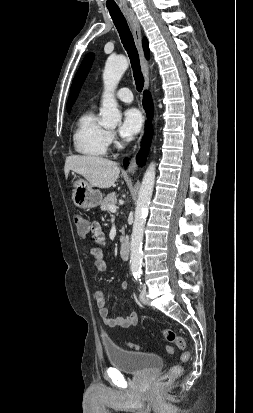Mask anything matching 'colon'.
<instances>
[{"mask_svg": "<svg viewBox=\"0 0 253 413\" xmlns=\"http://www.w3.org/2000/svg\"><path fill=\"white\" fill-rule=\"evenodd\" d=\"M73 222L76 226L77 233L80 237L86 238L89 233L91 232V227L87 221V219L80 213H74L72 216ZM163 335L167 342L171 345L167 346V352H173V346L177 347L178 349L182 350L183 353L181 355V360L186 362L190 358V353L185 351L186 342L185 339L178 335L174 330L167 328L163 331ZM182 373V367L180 365H175L169 369L167 373L161 376L158 381L157 385L160 387L166 386L173 382L176 378H178Z\"/></svg>", "mask_w": 253, "mask_h": 413, "instance_id": "colon-1", "label": "colon"}]
</instances>
